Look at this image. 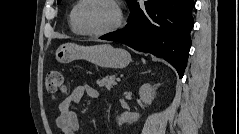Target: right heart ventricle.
<instances>
[{"mask_svg":"<svg viewBox=\"0 0 239 134\" xmlns=\"http://www.w3.org/2000/svg\"><path fill=\"white\" fill-rule=\"evenodd\" d=\"M79 3H80V1H76L74 3V5L71 8L70 14H69V26H70V29H71V31L73 33L78 34V35H80L81 32L78 30L77 26L75 25L74 16H75V11H76L77 6H78Z\"/></svg>","mask_w":239,"mask_h":134,"instance_id":"1","label":"right heart ventricle"}]
</instances>
